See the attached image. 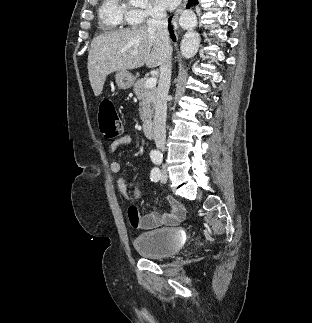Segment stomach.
Returning a JSON list of instances; mask_svg holds the SVG:
<instances>
[{
    "label": "stomach",
    "mask_w": 312,
    "mask_h": 323,
    "mask_svg": "<svg viewBox=\"0 0 312 323\" xmlns=\"http://www.w3.org/2000/svg\"><path fill=\"white\" fill-rule=\"evenodd\" d=\"M115 80L120 90H128V88L133 86L136 78L130 72H127V70H120V72H117Z\"/></svg>",
    "instance_id": "0dacf381"
}]
</instances>
